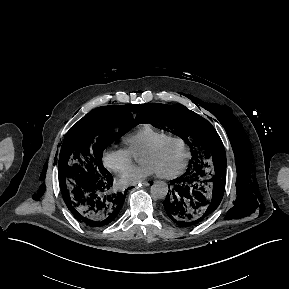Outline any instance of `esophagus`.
<instances>
[{
  "mask_svg": "<svg viewBox=\"0 0 289 289\" xmlns=\"http://www.w3.org/2000/svg\"><path fill=\"white\" fill-rule=\"evenodd\" d=\"M140 185H141V186H144V187H147V186L150 185V183L147 182V181H144V182H141Z\"/></svg>",
  "mask_w": 289,
  "mask_h": 289,
  "instance_id": "esophagus-1",
  "label": "esophagus"
}]
</instances>
